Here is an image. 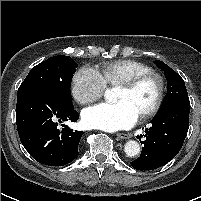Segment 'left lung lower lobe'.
<instances>
[{"instance_id": "left-lung-lower-lobe-1", "label": "left lung lower lobe", "mask_w": 201, "mask_h": 201, "mask_svg": "<svg viewBox=\"0 0 201 201\" xmlns=\"http://www.w3.org/2000/svg\"><path fill=\"white\" fill-rule=\"evenodd\" d=\"M189 113L190 102H178L161 108L151 120L152 126L145 130L146 139L141 141L144 147L140 157L131 162L133 168L153 170L172 160L187 135Z\"/></svg>"}]
</instances>
